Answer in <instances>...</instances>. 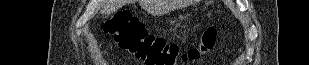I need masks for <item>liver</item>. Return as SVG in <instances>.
Instances as JSON below:
<instances>
[{"label":"liver","mask_w":309,"mask_h":65,"mask_svg":"<svg viewBox=\"0 0 309 65\" xmlns=\"http://www.w3.org/2000/svg\"><path fill=\"white\" fill-rule=\"evenodd\" d=\"M103 4L100 13L103 15H110L113 12L117 11L121 8L125 1L124 0H103L101 1ZM140 4L147 9V11L152 12L154 10H158L160 8V2L157 0H141Z\"/></svg>","instance_id":"6515ba94"}]
</instances>
